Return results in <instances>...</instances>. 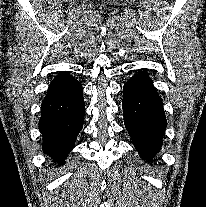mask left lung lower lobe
Here are the masks:
<instances>
[{"label": "left lung lower lobe", "mask_w": 206, "mask_h": 207, "mask_svg": "<svg viewBox=\"0 0 206 207\" xmlns=\"http://www.w3.org/2000/svg\"><path fill=\"white\" fill-rule=\"evenodd\" d=\"M122 106L135 148L143 158L151 159L161 148L167 122L162 99L145 72L139 71L125 83Z\"/></svg>", "instance_id": "1"}]
</instances>
